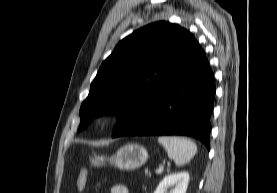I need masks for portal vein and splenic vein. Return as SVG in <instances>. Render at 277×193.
I'll use <instances>...</instances> for the list:
<instances>
[{"instance_id":"18ae733b","label":"portal vein and splenic vein","mask_w":277,"mask_h":193,"mask_svg":"<svg viewBox=\"0 0 277 193\" xmlns=\"http://www.w3.org/2000/svg\"><path fill=\"white\" fill-rule=\"evenodd\" d=\"M163 167H159L158 169H156V174H160V173H162L163 172Z\"/></svg>"}]
</instances>
